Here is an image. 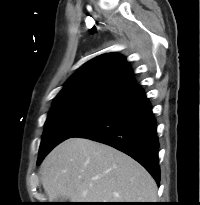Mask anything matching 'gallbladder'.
I'll use <instances>...</instances> for the list:
<instances>
[{
	"instance_id": "gallbladder-1",
	"label": "gallbladder",
	"mask_w": 200,
	"mask_h": 205,
	"mask_svg": "<svg viewBox=\"0 0 200 205\" xmlns=\"http://www.w3.org/2000/svg\"><path fill=\"white\" fill-rule=\"evenodd\" d=\"M66 199L64 197H60L57 199L58 202H64Z\"/></svg>"
}]
</instances>
